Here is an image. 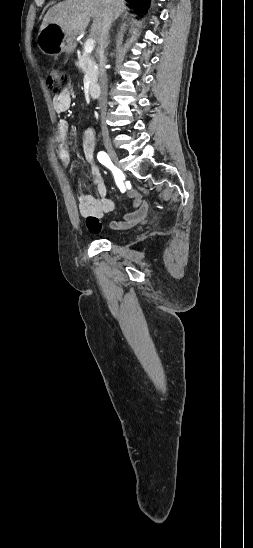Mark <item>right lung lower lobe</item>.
Segmentation results:
<instances>
[{
  "label": "right lung lower lobe",
  "instance_id": "1",
  "mask_svg": "<svg viewBox=\"0 0 253 548\" xmlns=\"http://www.w3.org/2000/svg\"><path fill=\"white\" fill-rule=\"evenodd\" d=\"M126 1L139 9H147L150 3V0H126Z\"/></svg>",
  "mask_w": 253,
  "mask_h": 548
}]
</instances>
